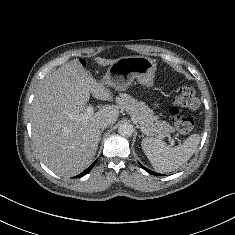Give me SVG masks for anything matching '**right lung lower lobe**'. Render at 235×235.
<instances>
[{
  "instance_id": "obj_1",
  "label": "right lung lower lobe",
  "mask_w": 235,
  "mask_h": 235,
  "mask_svg": "<svg viewBox=\"0 0 235 235\" xmlns=\"http://www.w3.org/2000/svg\"><path fill=\"white\" fill-rule=\"evenodd\" d=\"M94 165H95V162L91 166H89L86 170H84L81 174L77 175L75 178L81 177L85 175L86 173H88L93 168Z\"/></svg>"
}]
</instances>
